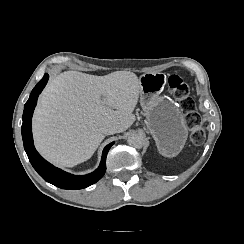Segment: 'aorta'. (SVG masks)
I'll use <instances>...</instances> for the list:
<instances>
[{"label": "aorta", "instance_id": "1", "mask_svg": "<svg viewBox=\"0 0 244 244\" xmlns=\"http://www.w3.org/2000/svg\"><path fill=\"white\" fill-rule=\"evenodd\" d=\"M127 142L134 148H142L144 144V138L137 133H132L128 136Z\"/></svg>", "mask_w": 244, "mask_h": 244}]
</instances>
